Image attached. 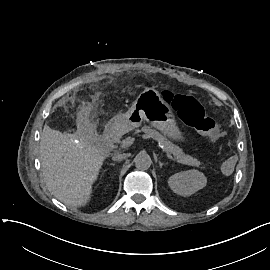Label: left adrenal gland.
<instances>
[{"mask_svg":"<svg viewBox=\"0 0 270 270\" xmlns=\"http://www.w3.org/2000/svg\"><path fill=\"white\" fill-rule=\"evenodd\" d=\"M160 166H161V167L163 166V163H162V162H160Z\"/></svg>","mask_w":270,"mask_h":270,"instance_id":"obj_1","label":"left adrenal gland"}]
</instances>
